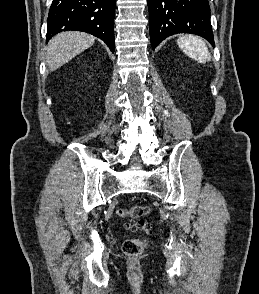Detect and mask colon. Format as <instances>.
Listing matches in <instances>:
<instances>
[{"instance_id":"1","label":"colon","mask_w":259,"mask_h":294,"mask_svg":"<svg viewBox=\"0 0 259 294\" xmlns=\"http://www.w3.org/2000/svg\"><path fill=\"white\" fill-rule=\"evenodd\" d=\"M150 210L146 206L135 205L129 208H119L117 214L121 217H130L132 219H142L149 214ZM127 229L133 231L148 232L151 229V225L144 221H131L125 224ZM148 242L142 238H129L122 244L123 252L128 256H138L146 248Z\"/></svg>"}]
</instances>
